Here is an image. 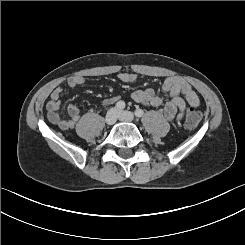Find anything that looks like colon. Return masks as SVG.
<instances>
[{"label": "colon", "instance_id": "1", "mask_svg": "<svg viewBox=\"0 0 245 245\" xmlns=\"http://www.w3.org/2000/svg\"><path fill=\"white\" fill-rule=\"evenodd\" d=\"M202 119V114L193 108H188L185 112V124L188 128H195Z\"/></svg>", "mask_w": 245, "mask_h": 245}]
</instances>
